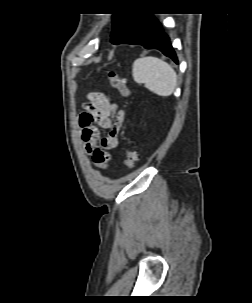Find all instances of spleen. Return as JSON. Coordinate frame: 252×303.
Returning <instances> with one entry per match:
<instances>
[{"label":"spleen","instance_id":"obj_1","mask_svg":"<svg viewBox=\"0 0 252 303\" xmlns=\"http://www.w3.org/2000/svg\"><path fill=\"white\" fill-rule=\"evenodd\" d=\"M132 75L135 82L143 83L147 89L163 97L170 96L177 84L174 69L165 61L153 56L136 59Z\"/></svg>","mask_w":252,"mask_h":303}]
</instances>
